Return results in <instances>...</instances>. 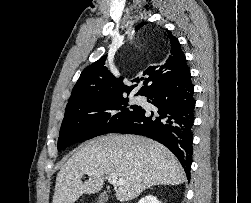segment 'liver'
Returning a JSON list of instances; mask_svg holds the SVG:
<instances>
[{"mask_svg": "<svg viewBox=\"0 0 251 203\" xmlns=\"http://www.w3.org/2000/svg\"><path fill=\"white\" fill-rule=\"evenodd\" d=\"M111 173L125 181L115 194L121 202L151 186L185 181L179 161L163 145L141 136L109 134L83 144L60 168L52 203H74L83 194L99 192ZM86 174L91 175L83 183Z\"/></svg>", "mask_w": 251, "mask_h": 203, "instance_id": "6515ba94", "label": "liver"}]
</instances>
